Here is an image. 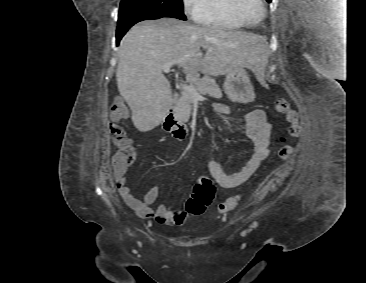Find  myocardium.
I'll return each instance as SVG.
<instances>
[{
	"instance_id": "1",
	"label": "myocardium",
	"mask_w": 366,
	"mask_h": 283,
	"mask_svg": "<svg viewBox=\"0 0 366 283\" xmlns=\"http://www.w3.org/2000/svg\"><path fill=\"white\" fill-rule=\"evenodd\" d=\"M256 2L260 6V15L254 23H250L247 21V19L245 18L244 14H243V11H242L245 0H230L231 12H232L234 18L239 23H241L243 26L254 27L262 21L264 15H265V11H266L265 3H264V0H256Z\"/></svg>"
}]
</instances>
